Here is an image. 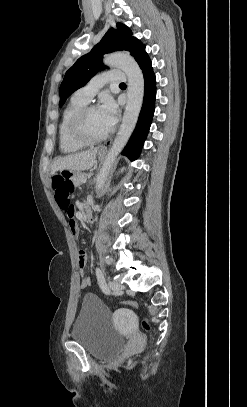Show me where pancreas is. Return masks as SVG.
I'll return each instance as SVG.
<instances>
[{"label": "pancreas", "instance_id": "1", "mask_svg": "<svg viewBox=\"0 0 247 407\" xmlns=\"http://www.w3.org/2000/svg\"><path fill=\"white\" fill-rule=\"evenodd\" d=\"M88 176L89 174L87 173H79L74 177L73 182L76 186H80L84 183V180L87 179Z\"/></svg>", "mask_w": 247, "mask_h": 407}]
</instances>
